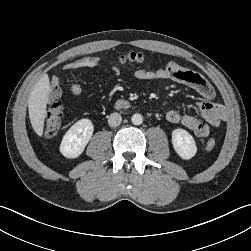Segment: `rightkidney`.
Returning <instances> with one entry per match:
<instances>
[{
	"mask_svg": "<svg viewBox=\"0 0 251 251\" xmlns=\"http://www.w3.org/2000/svg\"><path fill=\"white\" fill-rule=\"evenodd\" d=\"M93 131L91 120L84 118L77 121L63 136L60 144L61 154L66 158L80 156L91 139Z\"/></svg>",
	"mask_w": 251,
	"mask_h": 251,
	"instance_id": "right-kidney-1",
	"label": "right kidney"
}]
</instances>
